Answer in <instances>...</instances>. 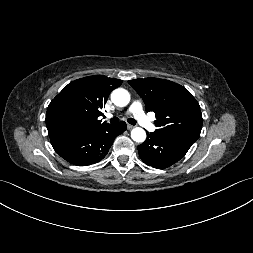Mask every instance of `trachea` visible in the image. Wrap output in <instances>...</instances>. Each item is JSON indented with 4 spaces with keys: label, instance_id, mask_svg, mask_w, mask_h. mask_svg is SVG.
<instances>
[{
    "label": "trachea",
    "instance_id": "1",
    "mask_svg": "<svg viewBox=\"0 0 253 253\" xmlns=\"http://www.w3.org/2000/svg\"><path fill=\"white\" fill-rule=\"evenodd\" d=\"M109 122H110L111 124H116V123L119 122V119H118L117 117H113V118L110 119ZM128 123H130V124H132V125H135L137 122H136L135 119L129 118V119H128Z\"/></svg>",
    "mask_w": 253,
    "mask_h": 253
}]
</instances>
